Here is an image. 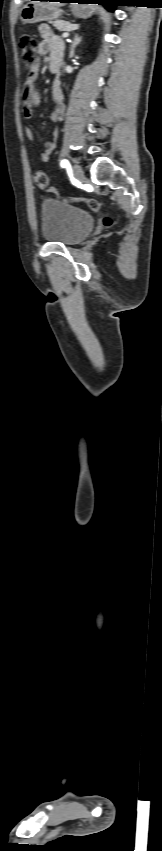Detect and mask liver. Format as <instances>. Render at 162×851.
<instances>
[{"instance_id":"6515ba94","label":"liver","mask_w":162,"mask_h":851,"mask_svg":"<svg viewBox=\"0 0 162 851\" xmlns=\"http://www.w3.org/2000/svg\"><path fill=\"white\" fill-rule=\"evenodd\" d=\"M38 3H41V2H38ZM42 4L45 5V6H51V7H60V6L64 5V3H60V2H45V3H42Z\"/></svg>"}]
</instances>
